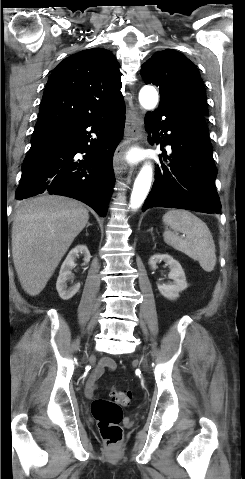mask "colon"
I'll list each match as a JSON object with an SVG mask.
<instances>
[{
	"label": "colon",
	"mask_w": 245,
	"mask_h": 479,
	"mask_svg": "<svg viewBox=\"0 0 245 479\" xmlns=\"http://www.w3.org/2000/svg\"><path fill=\"white\" fill-rule=\"evenodd\" d=\"M131 392L113 390L111 399L98 398L92 402L91 411L101 437L108 446H115L122 439V407L130 404Z\"/></svg>",
	"instance_id": "colon-1"
}]
</instances>
